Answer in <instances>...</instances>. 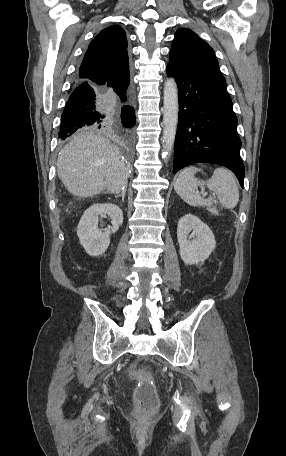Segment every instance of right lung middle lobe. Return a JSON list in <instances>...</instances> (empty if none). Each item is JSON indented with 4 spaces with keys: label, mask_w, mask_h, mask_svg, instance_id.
<instances>
[{
    "label": "right lung middle lobe",
    "mask_w": 286,
    "mask_h": 456,
    "mask_svg": "<svg viewBox=\"0 0 286 456\" xmlns=\"http://www.w3.org/2000/svg\"><path fill=\"white\" fill-rule=\"evenodd\" d=\"M121 140H122V139H121ZM122 141H123V143H124L125 145H127V146H129V145L131 144V141H130V142H125L124 140H122Z\"/></svg>",
    "instance_id": "obj_1"
}]
</instances>
